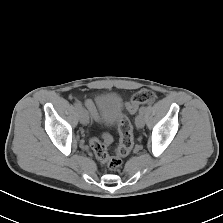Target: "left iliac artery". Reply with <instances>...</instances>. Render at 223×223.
<instances>
[{"label":"left iliac artery","instance_id":"44dca946","mask_svg":"<svg viewBox=\"0 0 223 223\" xmlns=\"http://www.w3.org/2000/svg\"><path fill=\"white\" fill-rule=\"evenodd\" d=\"M145 110H146V107H145V106H142V107H140V109H139V113H140V114H143V113L145 112Z\"/></svg>","mask_w":223,"mask_h":223}]
</instances>
